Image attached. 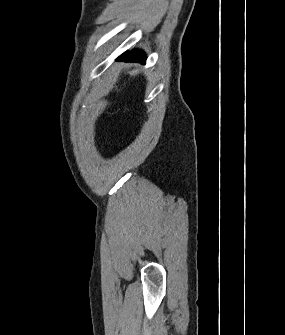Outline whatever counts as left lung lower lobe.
Segmentation results:
<instances>
[{
  "instance_id": "left-lung-lower-lobe-1",
  "label": "left lung lower lobe",
  "mask_w": 285,
  "mask_h": 335,
  "mask_svg": "<svg viewBox=\"0 0 285 335\" xmlns=\"http://www.w3.org/2000/svg\"><path fill=\"white\" fill-rule=\"evenodd\" d=\"M117 60L118 61L124 60V61H134V62L144 63L145 60H146V57H145V55L142 51L133 50V51H130L128 53H124Z\"/></svg>"
}]
</instances>
